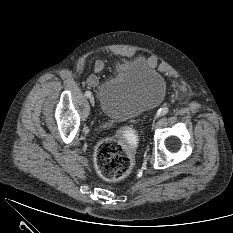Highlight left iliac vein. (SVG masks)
Here are the masks:
<instances>
[{
    "mask_svg": "<svg viewBox=\"0 0 233 233\" xmlns=\"http://www.w3.org/2000/svg\"><path fill=\"white\" fill-rule=\"evenodd\" d=\"M157 118V117H156ZM156 118L154 119L153 123H152V128H154L156 126Z\"/></svg>",
    "mask_w": 233,
    "mask_h": 233,
    "instance_id": "obj_1",
    "label": "left iliac vein"
}]
</instances>
